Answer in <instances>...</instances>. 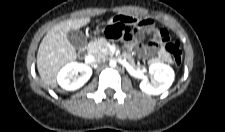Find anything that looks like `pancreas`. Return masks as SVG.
<instances>
[{
	"label": "pancreas",
	"instance_id": "pancreas-1",
	"mask_svg": "<svg viewBox=\"0 0 225 132\" xmlns=\"http://www.w3.org/2000/svg\"><path fill=\"white\" fill-rule=\"evenodd\" d=\"M109 42L105 39H98L96 41H92L88 45V51L93 55H101V56H110L112 52L109 49Z\"/></svg>",
	"mask_w": 225,
	"mask_h": 132
}]
</instances>
